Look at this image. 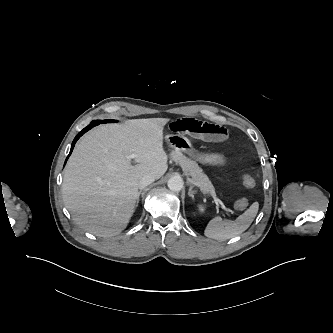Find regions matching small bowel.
<instances>
[{"instance_id": "1", "label": "small bowel", "mask_w": 333, "mask_h": 333, "mask_svg": "<svg viewBox=\"0 0 333 333\" xmlns=\"http://www.w3.org/2000/svg\"><path fill=\"white\" fill-rule=\"evenodd\" d=\"M171 132L188 135L206 142H220L228 137L225 127L191 117L178 118L169 123Z\"/></svg>"}]
</instances>
